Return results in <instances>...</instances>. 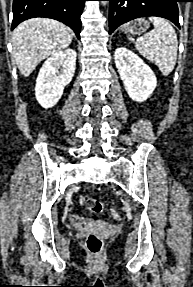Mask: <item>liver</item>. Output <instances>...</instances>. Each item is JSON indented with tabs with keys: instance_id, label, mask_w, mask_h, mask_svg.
Listing matches in <instances>:
<instances>
[{
	"instance_id": "6515ba94",
	"label": "liver",
	"mask_w": 193,
	"mask_h": 287,
	"mask_svg": "<svg viewBox=\"0 0 193 287\" xmlns=\"http://www.w3.org/2000/svg\"><path fill=\"white\" fill-rule=\"evenodd\" d=\"M72 30L59 21L33 18L19 24L12 34L13 56L24 77L48 56L66 49L72 42Z\"/></svg>"
}]
</instances>
